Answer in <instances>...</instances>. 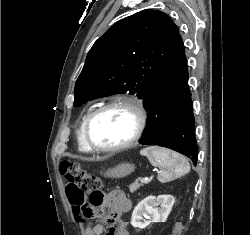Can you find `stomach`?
Returning <instances> with one entry per match:
<instances>
[{
    "mask_svg": "<svg viewBox=\"0 0 250 235\" xmlns=\"http://www.w3.org/2000/svg\"><path fill=\"white\" fill-rule=\"evenodd\" d=\"M135 169V166L133 164L129 163H122L117 165L114 168L108 169L104 176L108 178H123L127 175H129L131 172H133Z\"/></svg>",
    "mask_w": 250,
    "mask_h": 235,
    "instance_id": "0dacf381",
    "label": "stomach"
}]
</instances>
